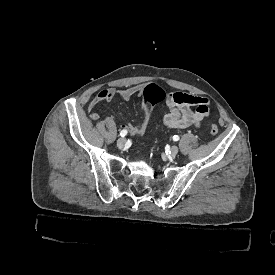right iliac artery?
<instances>
[{"label":"right iliac artery","mask_w":275,"mask_h":275,"mask_svg":"<svg viewBox=\"0 0 275 275\" xmlns=\"http://www.w3.org/2000/svg\"><path fill=\"white\" fill-rule=\"evenodd\" d=\"M127 130H122L121 132H120V136L121 137H124V136H126L127 135Z\"/></svg>","instance_id":"1"}]
</instances>
